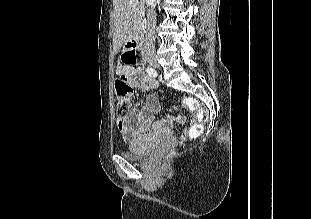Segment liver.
I'll return each mask as SVG.
<instances>
[{
  "label": "liver",
  "instance_id": "1",
  "mask_svg": "<svg viewBox=\"0 0 311 219\" xmlns=\"http://www.w3.org/2000/svg\"><path fill=\"white\" fill-rule=\"evenodd\" d=\"M144 3V0H113L115 53L133 38L144 16Z\"/></svg>",
  "mask_w": 311,
  "mask_h": 219
}]
</instances>
